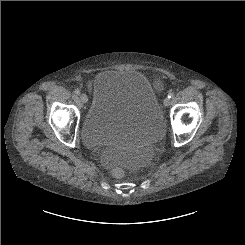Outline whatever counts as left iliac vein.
<instances>
[{
  "label": "left iliac vein",
  "mask_w": 245,
  "mask_h": 245,
  "mask_svg": "<svg viewBox=\"0 0 245 245\" xmlns=\"http://www.w3.org/2000/svg\"><path fill=\"white\" fill-rule=\"evenodd\" d=\"M163 104H164V106H169V104H170V99L168 98V97H166L165 99H164V102H163Z\"/></svg>",
  "instance_id": "1"
}]
</instances>
